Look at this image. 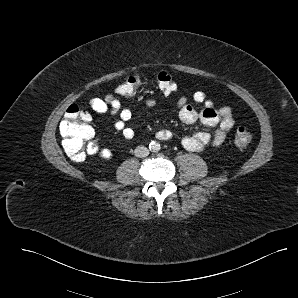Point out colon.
Here are the masks:
<instances>
[{
  "label": "colon",
  "mask_w": 298,
  "mask_h": 298,
  "mask_svg": "<svg viewBox=\"0 0 298 298\" xmlns=\"http://www.w3.org/2000/svg\"><path fill=\"white\" fill-rule=\"evenodd\" d=\"M157 88L163 95H170L176 90L172 76L165 71L156 77ZM143 85L141 74L128 76L116 89L125 97H134ZM59 130L63 138L62 145L66 154L74 162H83L87 155L98 145V140L87 114L77 105H70L60 122ZM253 139L252 132L245 126L236 130L235 144L240 148H247Z\"/></svg>",
  "instance_id": "obj_1"
}]
</instances>
